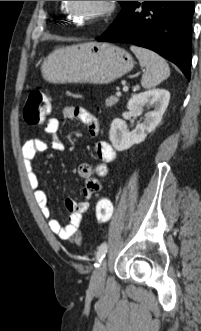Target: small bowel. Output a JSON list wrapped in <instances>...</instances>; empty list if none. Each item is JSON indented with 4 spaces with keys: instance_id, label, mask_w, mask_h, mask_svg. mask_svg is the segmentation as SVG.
I'll return each mask as SVG.
<instances>
[{
    "instance_id": "c3829d8e",
    "label": "small bowel",
    "mask_w": 201,
    "mask_h": 331,
    "mask_svg": "<svg viewBox=\"0 0 201 331\" xmlns=\"http://www.w3.org/2000/svg\"><path fill=\"white\" fill-rule=\"evenodd\" d=\"M62 117L68 122L79 121L85 125L91 136L99 132V122L96 117L81 107L66 106L62 109ZM60 121L58 118L50 117L45 122L44 132L48 140L35 138L27 140L22 147V156L28 183L33 191L34 199L48 222L50 230L61 239L78 242L81 240L80 225L83 214L88 210L89 204L85 201H76L68 198L65 201L66 210L69 213V221L66 225L51 215L47 196L40 188L39 177L35 171L34 159L40 152L47 149L63 151L65 143L59 135ZM96 156L101 161L98 165L92 166L83 163L78 168V174L84 181L82 194L90 199L101 189V180L107 179L111 174L110 164L116 159L114 148L106 141H99L95 144Z\"/></svg>"
}]
</instances>
